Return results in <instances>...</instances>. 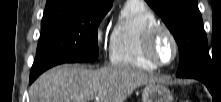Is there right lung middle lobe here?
Returning <instances> with one entry per match:
<instances>
[{
	"label": "right lung middle lobe",
	"instance_id": "obj_1",
	"mask_svg": "<svg viewBox=\"0 0 221 102\" xmlns=\"http://www.w3.org/2000/svg\"><path fill=\"white\" fill-rule=\"evenodd\" d=\"M109 10L78 6L44 11L30 76L37 77L57 64L97 59V29Z\"/></svg>",
	"mask_w": 221,
	"mask_h": 102
}]
</instances>
